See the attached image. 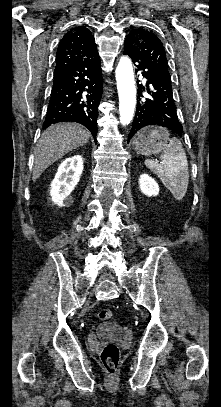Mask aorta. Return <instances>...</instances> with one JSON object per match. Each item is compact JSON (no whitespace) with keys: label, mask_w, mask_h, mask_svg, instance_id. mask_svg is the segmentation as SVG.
<instances>
[{"label":"aorta","mask_w":221,"mask_h":407,"mask_svg":"<svg viewBox=\"0 0 221 407\" xmlns=\"http://www.w3.org/2000/svg\"><path fill=\"white\" fill-rule=\"evenodd\" d=\"M116 81L119 95L120 123L128 125L134 116L136 87L131 60L123 56L116 67Z\"/></svg>","instance_id":"obj_1"}]
</instances>
